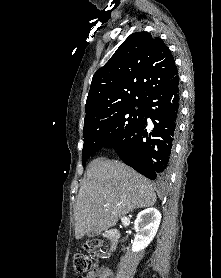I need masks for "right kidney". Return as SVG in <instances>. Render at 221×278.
<instances>
[{
  "label": "right kidney",
  "instance_id": "ca27d5eb",
  "mask_svg": "<svg viewBox=\"0 0 221 278\" xmlns=\"http://www.w3.org/2000/svg\"><path fill=\"white\" fill-rule=\"evenodd\" d=\"M161 221V213L155 208L141 211L135 220L134 227L137 232L132 244V251L139 252L146 248L157 233Z\"/></svg>",
  "mask_w": 221,
  "mask_h": 278
}]
</instances>
